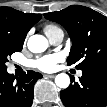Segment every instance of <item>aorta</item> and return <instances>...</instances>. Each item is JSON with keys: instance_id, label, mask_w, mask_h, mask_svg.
<instances>
[{"instance_id": "aorta-1", "label": "aorta", "mask_w": 107, "mask_h": 107, "mask_svg": "<svg viewBox=\"0 0 107 107\" xmlns=\"http://www.w3.org/2000/svg\"><path fill=\"white\" fill-rule=\"evenodd\" d=\"M27 47L32 53H42L48 47V40L42 35H32L27 42ZM55 83L59 88L66 89L70 85V77L60 73L55 77Z\"/></svg>"}]
</instances>
